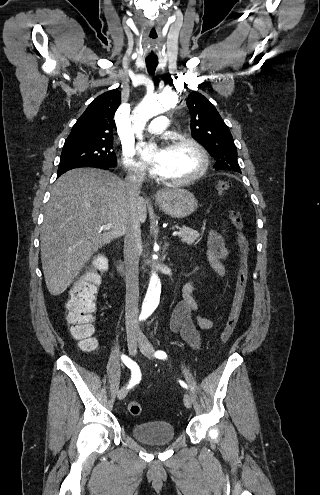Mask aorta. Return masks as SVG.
Instances as JSON below:
<instances>
[{
  "label": "aorta",
  "mask_w": 320,
  "mask_h": 495,
  "mask_svg": "<svg viewBox=\"0 0 320 495\" xmlns=\"http://www.w3.org/2000/svg\"><path fill=\"white\" fill-rule=\"evenodd\" d=\"M178 104V97L172 91L165 90L158 96H146L137 107L133 110V129L139 140H141V146L144 147L143 130L146 123L153 117L166 112L167 110L176 107ZM156 146L152 145L149 149H155ZM149 259V258H148ZM148 261V260H147ZM161 294V282L157 274L153 272L150 278L147 294L143 303V312L146 316H149L157 308Z\"/></svg>",
  "instance_id": "aorta-1"
}]
</instances>
